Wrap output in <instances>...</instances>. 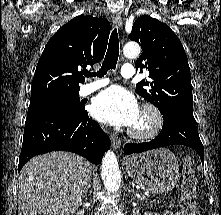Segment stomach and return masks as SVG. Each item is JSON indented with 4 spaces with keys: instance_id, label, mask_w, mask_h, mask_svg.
Here are the masks:
<instances>
[{
    "instance_id": "1",
    "label": "stomach",
    "mask_w": 221,
    "mask_h": 215,
    "mask_svg": "<svg viewBox=\"0 0 221 215\" xmlns=\"http://www.w3.org/2000/svg\"><path fill=\"white\" fill-rule=\"evenodd\" d=\"M128 175L145 191L164 194L171 191L179 179V164L166 148L150 150L125 160Z\"/></svg>"
}]
</instances>
